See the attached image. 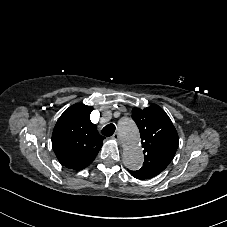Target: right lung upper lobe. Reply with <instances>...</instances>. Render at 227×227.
I'll list each match as a JSON object with an SVG mask.
<instances>
[{
	"label": "right lung upper lobe",
	"instance_id": "right-lung-upper-lobe-1",
	"mask_svg": "<svg viewBox=\"0 0 227 227\" xmlns=\"http://www.w3.org/2000/svg\"><path fill=\"white\" fill-rule=\"evenodd\" d=\"M93 108L82 103L69 107L58 119L52 147L59 162L74 170L89 166L102 147L104 137L90 120Z\"/></svg>",
	"mask_w": 227,
	"mask_h": 227
}]
</instances>
